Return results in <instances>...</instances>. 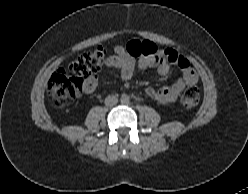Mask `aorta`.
Listing matches in <instances>:
<instances>
[{"instance_id": "aorta-1", "label": "aorta", "mask_w": 248, "mask_h": 194, "mask_svg": "<svg viewBox=\"0 0 248 194\" xmlns=\"http://www.w3.org/2000/svg\"><path fill=\"white\" fill-rule=\"evenodd\" d=\"M120 101L122 104H128L130 102V97L127 94H123Z\"/></svg>"}]
</instances>
